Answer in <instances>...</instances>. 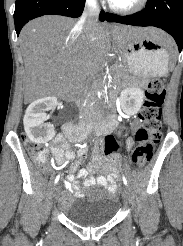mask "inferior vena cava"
<instances>
[{
  "label": "inferior vena cava",
  "instance_id": "1",
  "mask_svg": "<svg viewBox=\"0 0 183 246\" xmlns=\"http://www.w3.org/2000/svg\"><path fill=\"white\" fill-rule=\"evenodd\" d=\"M99 11L97 0H86L83 14L77 22V26L82 27L89 34L97 24Z\"/></svg>",
  "mask_w": 183,
  "mask_h": 246
}]
</instances>
